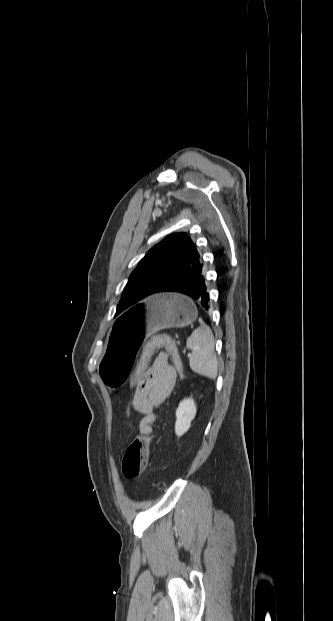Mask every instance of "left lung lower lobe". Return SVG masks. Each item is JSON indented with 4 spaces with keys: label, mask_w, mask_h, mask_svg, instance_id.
I'll return each instance as SVG.
<instances>
[{
    "label": "left lung lower lobe",
    "mask_w": 333,
    "mask_h": 621,
    "mask_svg": "<svg viewBox=\"0 0 333 621\" xmlns=\"http://www.w3.org/2000/svg\"><path fill=\"white\" fill-rule=\"evenodd\" d=\"M203 264L191 267L165 283L157 293L179 292L193 298L205 309L209 308V294L202 273Z\"/></svg>",
    "instance_id": "1"
}]
</instances>
